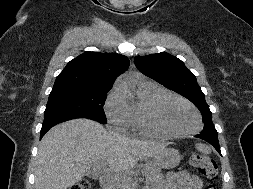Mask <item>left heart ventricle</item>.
I'll list each match as a JSON object with an SVG mask.
<instances>
[{"instance_id":"b2bd125f","label":"left heart ventricle","mask_w":253,"mask_h":189,"mask_svg":"<svg viewBox=\"0 0 253 189\" xmlns=\"http://www.w3.org/2000/svg\"><path fill=\"white\" fill-rule=\"evenodd\" d=\"M158 118L167 129L174 132H186L197 126L193 110L172 98L162 101L158 109Z\"/></svg>"}]
</instances>
